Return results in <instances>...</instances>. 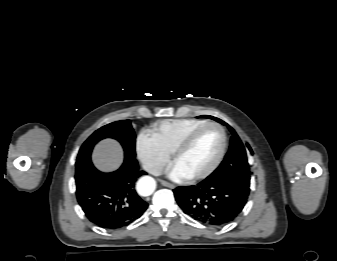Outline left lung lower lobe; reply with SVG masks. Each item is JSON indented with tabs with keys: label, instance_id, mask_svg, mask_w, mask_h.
I'll list each match as a JSON object with an SVG mask.
<instances>
[{
	"label": "left lung lower lobe",
	"instance_id": "1",
	"mask_svg": "<svg viewBox=\"0 0 337 261\" xmlns=\"http://www.w3.org/2000/svg\"><path fill=\"white\" fill-rule=\"evenodd\" d=\"M174 195L185 214L210 226H224L232 222L248 198V194L234 184L208 178L197 185L177 187Z\"/></svg>",
	"mask_w": 337,
	"mask_h": 261
}]
</instances>
